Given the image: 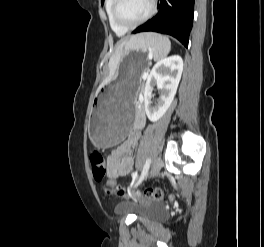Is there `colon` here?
Masks as SVG:
<instances>
[{
  "label": "colon",
  "instance_id": "1",
  "mask_svg": "<svg viewBox=\"0 0 264 247\" xmlns=\"http://www.w3.org/2000/svg\"><path fill=\"white\" fill-rule=\"evenodd\" d=\"M89 162L92 169L93 178L96 181H102L107 174V162L105 157L99 152H92L89 156ZM103 189L107 195L121 197L125 195V190L118 187L113 181H106ZM144 197L149 200L160 201L164 199L165 194L161 189L149 188L143 192Z\"/></svg>",
  "mask_w": 264,
  "mask_h": 247
}]
</instances>
